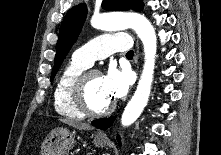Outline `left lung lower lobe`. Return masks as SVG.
Masks as SVG:
<instances>
[{"mask_svg":"<svg viewBox=\"0 0 221 155\" xmlns=\"http://www.w3.org/2000/svg\"><path fill=\"white\" fill-rule=\"evenodd\" d=\"M116 117H110V118H104V119H98L92 122V125H94L95 127L102 129V130H106L107 128H109L112 123L114 122ZM117 140L120 143V138L119 136H117Z\"/></svg>","mask_w":221,"mask_h":155,"instance_id":"0a47b994","label":"left lung lower lobe"}]
</instances>
